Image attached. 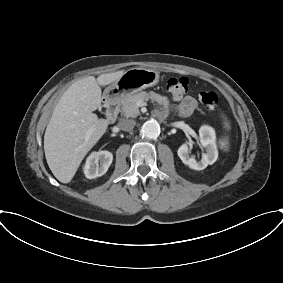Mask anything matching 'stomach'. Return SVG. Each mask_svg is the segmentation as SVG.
Here are the masks:
<instances>
[{
  "label": "stomach",
  "instance_id": "0dacf381",
  "mask_svg": "<svg viewBox=\"0 0 283 283\" xmlns=\"http://www.w3.org/2000/svg\"><path fill=\"white\" fill-rule=\"evenodd\" d=\"M159 82V73L152 69L132 68L127 70L115 83L108 87V93L123 98Z\"/></svg>",
  "mask_w": 283,
  "mask_h": 283
}]
</instances>
